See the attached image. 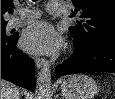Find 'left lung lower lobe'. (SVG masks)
I'll return each instance as SVG.
<instances>
[{
	"label": "left lung lower lobe",
	"instance_id": "0a47b994",
	"mask_svg": "<svg viewBox=\"0 0 115 99\" xmlns=\"http://www.w3.org/2000/svg\"><path fill=\"white\" fill-rule=\"evenodd\" d=\"M84 72L115 73V43H100L83 50L74 48L72 56L56 67V77Z\"/></svg>",
	"mask_w": 115,
	"mask_h": 99
}]
</instances>
